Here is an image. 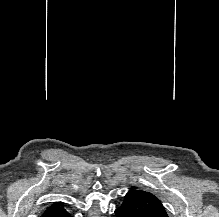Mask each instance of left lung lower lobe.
Masks as SVG:
<instances>
[{"mask_svg":"<svg viewBox=\"0 0 219 217\" xmlns=\"http://www.w3.org/2000/svg\"><path fill=\"white\" fill-rule=\"evenodd\" d=\"M116 217H140L128 204H122L115 210Z\"/></svg>","mask_w":219,"mask_h":217,"instance_id":"left-lung-lower-lobe-1","label":"left lung lower lobe"}]
</instances>
